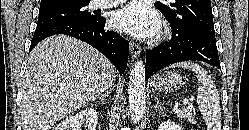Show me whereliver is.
Returning a JSON list of instances; mask_svg holds the SVG:
<instances>
[{
    "label": "liver",
    "instance_id": "obj_1",
    "mask_svg": "<svg viewBox=\"0 0 249 130\" xmlns=\"http://www.w3.org/2000/svg\"><path fill=\"white\" fill-rule=\"evenodd\" d=\"M115 77L114 66L92 46L64 35L46 38L28 58L20 106L22 129L49 130L98 98Z\"/></svg>",
    "mask_w": 249,
    "mask_h": 130
}]
</instances>
